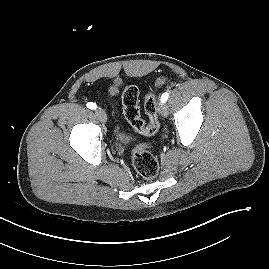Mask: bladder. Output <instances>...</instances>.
I'll return each mask as SVG.
<instances>
[{"instance_id":"obj_1","label":"bladder","mask_w":269,"mask_h":269,"mask_svg":"<svg viewBox=\"0 0 269 269\" xmlns=\"http://www.w3.org/2000/svg\"><path fill=\"white\" fill-rule=\"evenodd\" d=\"M115 138L121 143H128L131 137L127 135L119 126L115 128Z\"/></svg>"}]
</instances>
